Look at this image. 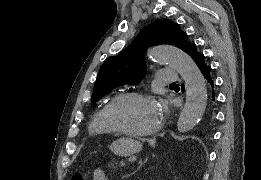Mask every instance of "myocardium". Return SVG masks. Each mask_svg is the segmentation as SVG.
<instances>
[{
	"label": "myocardium",
	"mask_w": 261,
	"mask_h": 180,
	"mask_svg": "<svg viewBox=\"0 0 261 180\" xmlns=\"http://www.w3.org/2000/svg\"><path fill=\"white\" fill-rule=\"evenodd\" d=\"M126 98H145V99L154 100L158 103L156 122L150 132L143 134V135L124 134V133H121L120 131H118L117 128L114 126V124L111 122V120L108 116L109 109ZM102 117H103V121H104L106 128L116 138H126V139H132V140L133 139L150 140L158 134V132L160 131V129L163 125L164 111H163L159 101L155 98L154 95H152L146 91L133 90V91L121 92V93L115 95L112 99H110L109 102L107 103V105L103 109Z\"/></svg>",
	"instance_id": "f54148a6"
}]
</instances>
